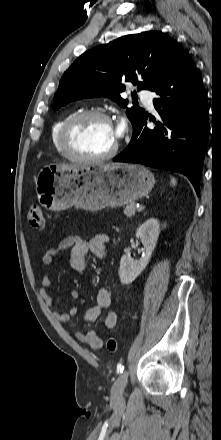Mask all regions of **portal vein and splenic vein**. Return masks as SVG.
<instances>
[{
	"label": "portal vein and splenic vein",
	"mask_w": 221,
	"mask_h": 440,
	"mask_svg": "<svg viewBox=\"0 0 221 440\" xmlns=\"http://www.w3.org/2000/svg\"><path fill=\"white\" fill-rule=\"evenodd\" d=\"M145 209V206L144 205H141L139 208H138V211L140 212V211H143Z\"/></svg>",
	"instance_id": "obj_1"
}]
</instances>
